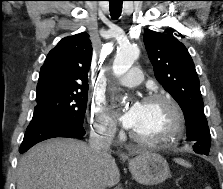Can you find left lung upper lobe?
<instances>
[{
  "label": "left lung upper lobe",
  "mask_w": 223,
  "mask_h": 189,
  "mask_svg": "<svg viewBox=\"0 0 223 189\" xmlns=\"http://www.w3.org/2000/svg\"><path fill=\"white\" fill-rule=\"evenodd\" d=\"M144 44L156 79L184 113L187 140L195 141V152L208 155L211 135L204 114L200 82L188 50L174 36L151 30L145 31Z\"/></svg>",
  "instance_id": "obj_1"
}]
</instances>
